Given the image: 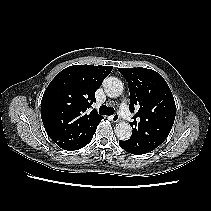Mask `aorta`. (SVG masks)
Wrapping results in <instances>:
<instances>
[{
    "label": "aorta",
    "instance_id": "1",
    "mask_svg": "<svg viewBox=\"0 0 211 211\" xmlns=\"http://www.w3.org/2000/svg\"><path fill=\"white\" fill-rule=\"evenodd\" d=\"M103 88L110 98L119 97L124 90L123 83L116 77H107L103 81ZM114 131L120 140H128L132 135V127L124 121L117 123Z\"/></svg>",
    "mask_w": 211,
    "mask_h": 211
}]
</instances>
